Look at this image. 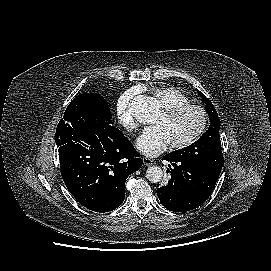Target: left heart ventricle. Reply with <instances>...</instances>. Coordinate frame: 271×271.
I'll list each match as a JSON object with an SVG mask.
<instances>
[{"instance_id":"b2bd125f","label":"left heart ventricle","mask_w":271,"mask_h":271,"mask_svg":"<svg viewBox=\"0 0 271 271\" xmlns=\"http://www.w3.org/2000/svg\"><path fill=\"white\" fill-rule=\"evenodd\" d=\"M200 115L195 110H186L167 118L159 113L153 124L160 125L166 132L170 143L179 142L192 135L200 125Z\"/></svg>"}]
</instances>
